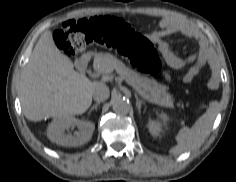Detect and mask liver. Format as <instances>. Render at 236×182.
I'll return each instance as SVG.
<instances>
[{
    "label": "liver",
    "mask_w": 236,
    "mask_h": 182,
    "mask_svg": "<svg viewBox=\"0 0 236 182\" xmlns=\"http://www.w3.org/2000/svg\"><path fill=\"white\" fill-rule=\"evenodd\" d=\"M104 76L102 81H109ZM94 83L74 70L72 61L56 46L46 30L22 70L19 99L28 120L62 118L85 113L92 103Z\"/></svg>",
    "instance_id": "liver-1"
}]
</instances>
